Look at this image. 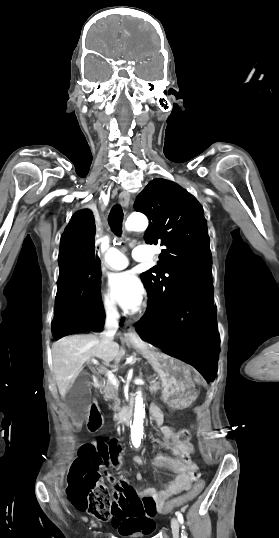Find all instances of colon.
<instances>
[{"mask_svg": "<svg viewBox=\"0 0 279 538\" xmlns=\"http://www.w3.org/2000/svg\"><path fill=\"white\" fill-rule=\"evenodd\" d=\"M190 438L191 431L182 429L175 440L185 446L183 460L186 474L195 483L188 493L169 500L162 508L157 507L149 489L138 492L128 482L116 479L112 481V492L106 486L100 468L118 464L123 452L121 444L109 437L79 448L78 457L68 473L67 496L76 508L86 510L102 521L113 517H153L158 511L165 513L182 507L194 500L204 488L203 480L199 479L196 453L189 444Z\"/></svg>", "mask_w": 279, "mask_h": 538, "instance_id": "1", "label": "colon"}]
</instances>
